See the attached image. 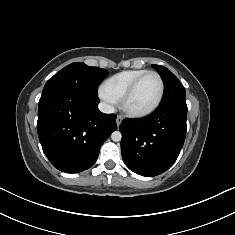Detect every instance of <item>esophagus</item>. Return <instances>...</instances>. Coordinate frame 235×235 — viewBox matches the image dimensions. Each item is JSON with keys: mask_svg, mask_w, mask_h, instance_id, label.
<instances>
[{"mask_svg": "<svg viewBox=\"0 0 235 235\" xmlns=\"http://www.w3.org/2000/svg\"><path fill=\"white\" fill-rule=\"evenodd\" d=\"M122 120H123V117L121 115H117V117H116L117 126H119L121 124Z\"/></svg>", "mask_w": 235, "mask_h": 235, "instance_id": "esophagus-1", "label": "esophagus"}]
</instances>
